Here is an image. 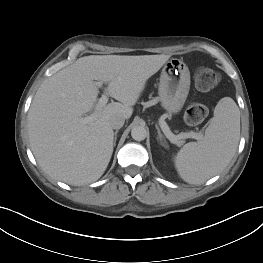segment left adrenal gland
<instances>
[{"mask_svg":"<svg viewBox=\"0 0 263 263\" xmlns=\"http://www.w3.org/2000/svg\"><path fill=\"white\" fill-rule=\"evenodd\" d=\"M156 129H157V132H158V140H160V143L162 145H164L165 143V139H164V136L162 135L161 131H160V128L158 127V125H155Z\"/></svg>","mask_w":263,"mask_h":263,"instance_id":"1","label":"left adrenal gland"}]
</instances>
